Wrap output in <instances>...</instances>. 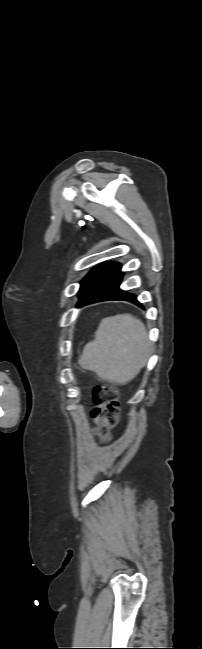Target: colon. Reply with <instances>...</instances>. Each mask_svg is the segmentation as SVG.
<instances>
[{
	"mask_svg": "<svg viewBox=\"0 0 202 649\" xmlns=\"http://www.w3.org/2000/svg\"><path fill=\"white\" fill-rule=\"evenodd\" d=\"M93 401L96 405L92 411L94 431L102 441H107L110 429L117 422L118 390L111 384L98 386L93 392Z\"/></svg>",
	"mask_w": 202,
	"mask_h": 649,
	"instance_id": "5ec220e1",
	"label": "colon"
}]
</instances>
